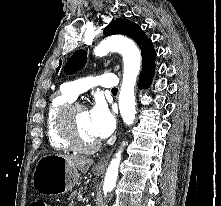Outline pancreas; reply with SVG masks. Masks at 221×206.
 <instances>
[{
  "instance_id": "pancreas-1",
  "label": "pancreas",
  "mask_w": 221,
  "mask_h": 206,
  "mask_svg": "<svg viewBox=\"0 0 221 206\" xmlns=\"http://www.w3.org/2000/svg\"><path fill=\"white\" fill-rule=\"evenodd\" d=\"M79 196H82V192L81 190H76L73 193H71L69 200L73 201V199L78 198ZM70 206H72V203L70 204Z\"/></svg>"
}]
</instances>
